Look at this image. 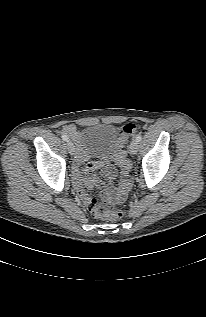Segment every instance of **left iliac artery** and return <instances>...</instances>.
<instances>
[{
	"instance_id": "1",
	"label": "left iliac artery",
	"mask_w": 206,
	"mask_h": 317,
	"mask_svg": "<svg viewBox=\"0 0 206 317\" xmlns=\"http://www.w3.org/2000/svg\"><path fill=\"white\" fill-rule=\"evenodd\" d=\"M141 140H142V137H141L140 134H138V135L136 136V141H137V142H140Z\"/></svg>"
}]
</instances>
